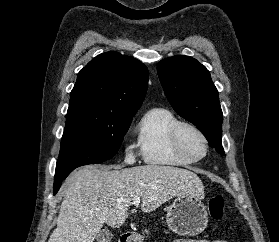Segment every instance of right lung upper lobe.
I'll return each mask as SVG.
<instances>
[{
  "label": "right lung upper lobe",
  "instance_id": "right-lung-upper-lobe-1",
  "mask_svg": "<svg viewBox=\"0 0 279 242\" xmlns=\"http://www.w3.org/2000/svg\"><path fill=\"white\" fill-rule=\"evenodd\" d=\"M147 85L148 69L139 60L118 52L102 53L78 73L67 114L95 119L132 117Z\"/></svg>",
  "mask_w": 279,
  "mask_h": 242
}]
</instances>
